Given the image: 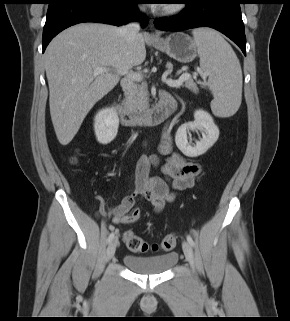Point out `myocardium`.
Returning a JSON list of instances; mask_svg holds the SVG:
<instances>
[{
	"label": "myocardium",
	"instance_id": "obj_1",
	"mask_svg": "<svg viewBox=\"0 0 290 321\" xmlns=\"http://www.w3.org/2000/svg\"><path fill=\"white\" fill-rule=\"evenodd\" d=\"M184 8V4L181 1H174L173 3H169L163 5L159 9V14L164 16H170L180 13Z\"/></svg>",
	"mask_w": 290,
	"mask_h": 321
}]
</instances>
